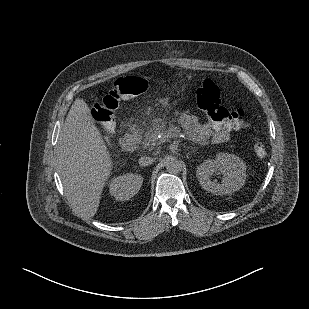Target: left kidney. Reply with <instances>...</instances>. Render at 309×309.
<instances>
[{"label": "left kidney", "mask_w": 309, "mask_h": 309, "mask_svg": "<svg viewBox=\"0 0 309 309\" xmlns=\"http://www.w3.org/2000/svg\"><path fill=\"white\" fill-rule=\"evenodd\" d=\"M215 172L223 175L221 183L212 181ZM196 176L204 190L214 195H227L245 184L246 165L234 154L218 153L215 159H207L198 166Z\"/></svg>", "instance_id": "obj_1"}]
</instances>
